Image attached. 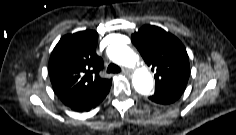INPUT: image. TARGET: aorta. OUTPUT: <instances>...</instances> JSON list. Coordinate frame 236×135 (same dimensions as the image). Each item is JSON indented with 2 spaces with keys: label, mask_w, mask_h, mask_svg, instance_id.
Here are the masks:
<instances>
[{
  "label": "aorta",
  "mask_w": 236,
  "mask_h": 135,
  "mask_svg": "<svg viewBox=\"0 0 236 135\" xmlns=\"http://www.w3.org/2000/svg\"><path fill=\"white\" fill-rule=\"evenodd\" d=\"M107 54L113 62L128 68H135L141 64L139 56L125 44H111ZM132 82L135 90L142 95L149 94L154 84L151 73L144 66L135 70Z\"/></svg>",
  "instance_id": "obj_1"
}]
</instances>
